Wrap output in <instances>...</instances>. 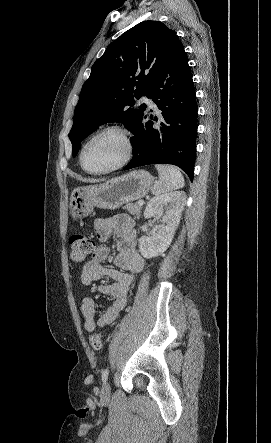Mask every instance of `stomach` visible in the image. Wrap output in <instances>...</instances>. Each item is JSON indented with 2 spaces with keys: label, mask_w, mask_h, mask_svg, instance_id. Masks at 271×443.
I'll use <instances>...</instances> for the list:
<instances>
[{
  "label": "stomach",
  "mask_w": 271,
  "mask_h": 443,
  "mask_svg": "<svg viewBox=\"0 0 271 443\" xmlns=\"http://www.w3.org/2000/svg\"><path fill=\"white\" fill-rule=\"evenodd\" d=\"M152 184L153 180L149 172L134 170L120 178H113L106 184L75 188L70 196V214L74 220H82L89 216L94 208L117 210L127 202L144 198Z\"/></svg>",
  "instance_id": "1"
}]
</instances>
